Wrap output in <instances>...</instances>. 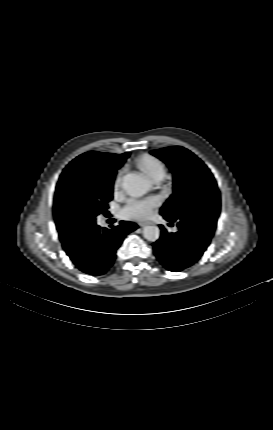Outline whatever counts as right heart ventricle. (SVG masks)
<instances>
[{
    "label": "right heart ventricle",
    "instance_id": "e07e8e85",
    "mask_svg": "<svg viewBox=\"0 0 273 430\" xmlns=\"http://www.w3.org/2000/svg\"><path fill=\"white\" fill-rule=\"evenodd\" d=\"M137 167L150 179L155 180L165 175V166L155 156L144 154L136 159Z\"/></svg>",
    "mask_w": 273,
    "mask_h": 430
}]
</instances>
